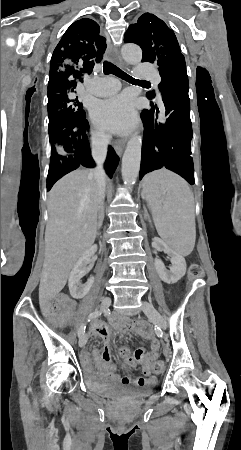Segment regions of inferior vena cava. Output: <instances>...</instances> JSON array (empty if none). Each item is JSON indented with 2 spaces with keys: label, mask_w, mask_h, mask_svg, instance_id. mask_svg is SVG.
Wrapping results in <instances>:
<instances>
[{
  "label": "inferior vena cava",
  "mask_w": 241,
  "mask_h": 450,
  "mask_svg": "<svg viewBox=\"0 0 241 450\" xmlns=\"http://www.w3.org/2000/svg\"><path fill=\"white\" fill-rule=\"evenodd\" d=\"M111 136H95L93 148H92V158L97 164V168L91 170L89 176L95 178L98 186V220H103V206L102 202L105 198V188H106V174L103 170V164L107 156L108 144H110Z\"/></svg>",
  "instance_id": "1"
}]
</instances>
